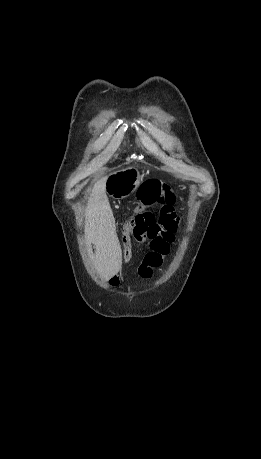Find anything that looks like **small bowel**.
I'll list each match as a JSON object with an SVG mask.
<instances>
[{
  "mask_svg": "<svg viewBox=\"0 0 261 459\" xmlns=\"http://www.w3.org/2000/svg\"><path fill=\"white\" fill-rule=\"evenodd\" d=\"M174 238L175 234H160L158 238H140L136 233L133 235L132 242L136 241L140 244H145L148 249L138 267V275L142 279H149L153 270L162 264L163 258L170 251V244L174 241ZM118 283L116 277L110 280V284L113 286L118 285Z\"/></svg>",
  "mask_w": 261,
  "mask_h": 459,
  "instance_id": "1",
  "label": "small bowel"
}]
</instances>
